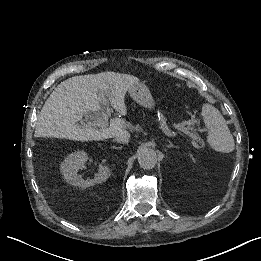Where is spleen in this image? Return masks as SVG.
Returning a JSON list of instances; mask_svg holds the SVG:
<instances>
[{
    "label": "spleen",
    "instance_id": "obj_1",
    "mask_svg": "<svg viewBox=\"0 0 261 261\" xmlns=\"http://www.w3.org/2000/svg\"><path fill=\"white\" fill-rule=\"evenodd\" d=\"M202 116L204 126L208 130L206 141L210 149L218 153H232L234 139L222 115L216 109L204 106Z\"/></svg>",
    "mask_w": 261,
    "mask_h": 261
}]
</instances>
